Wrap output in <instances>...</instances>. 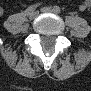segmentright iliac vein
I'll list each match as a JSON object with an SVG mask.
<instances>
[{
  "label": "right iliac vein",
  "mask_w": 91,
  "mask_h": 91,
  "mask_svg": "<svg viewBox=\"0 0 91 91\" xmlns=\"http://www.w3.org/2000/svg\"><path fill=\"white\" fill-rule=\"evenodd\" d=\"M38 13L36 11H32L29 14H27L28 18L33 20L37 17Z\"/></svg>",
  "instance_id": "obj_1"
}]
</instances>
